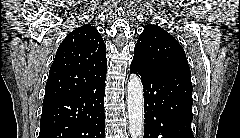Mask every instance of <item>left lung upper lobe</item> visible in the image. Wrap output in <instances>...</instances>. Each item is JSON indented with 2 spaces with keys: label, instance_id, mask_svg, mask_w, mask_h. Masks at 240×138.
Returning <instances> with one entry per match:
<instances>
[{
  "label": "left lung upper lobe",
  "instance_id": "1",
  "mask_svg": "<svg viewBox=\"0 0 240 138\" xmlns=\"http://www.w3.org/2000/svg\"><path fill=\"white\" fill-rule=\"evenodd\" d=\"M133 61L149 68H184L190 70L185 52L178 41L154 24L144 26L135 45Z\"/></svg>",
  "mask_w": 240,
  "mask_h": 138
}]
</instances>
